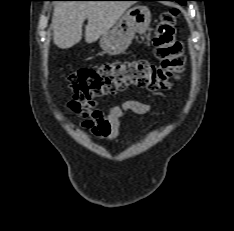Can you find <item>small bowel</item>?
Returning <instances> with one entry per match:
<instances>
[{
	"mask_svg": "<svg viewBox=\"0 0 234 231\" xmlns=\"http://www.w3.org/2000/svg\"><path fill=\"white\" fill-rule=\"evenodd\" d=\"M152 110L151 104L138 100H126L106 111L98 108L96 102L90 101L80 113L79 126L101 140L112 141L118 137L120 120L128 113L144 115Z\"/></svg>",
	"mask_w": 234,
	"mask_h": 231,
	"instance_id": "small-bowel-1",
	"label": "small bowel"
}]
</instances>
